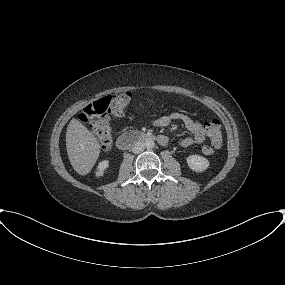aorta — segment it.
Returning <instances> with one entry per match:
<instances>
[{"label": "aorta", "mask_w": 285, "mask_h": 285, "mask_svg": "<svg viewBox=\"0 0 285 285\" xmlns=\"http://www.w3.org/2000/svg\"><path fill=\"white\" fill-rule=\"evenodd\" d=\"M144 146H145V148H147V149H152V148H154L155 143H154V141H153L152 139H147V140L144 142Z\"/></svg>", "instance_id": "762f6f07"}]
</instances>
